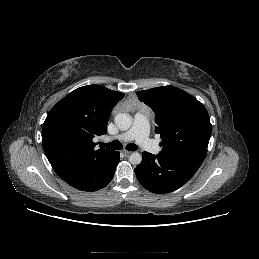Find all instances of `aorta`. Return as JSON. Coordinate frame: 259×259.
<instances>
[{"label":"aorta","instance_id":"762f6f07","mask_svg":"<svg viewBox=\"0 0 259 259\" xmlns=\"http://www.w3.org/2000/svg\"><path fill=\"white\" fill-rule=\"evenodd\" d=\"M115 124L120 130L126 131L132 125V117L128 113H119L115 116ZM129 161L133 165H138L142 161V156L138 152H133L129 156Z\"/></svg>","mask_w":259,"mask_h":259}]
</instances>
